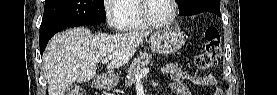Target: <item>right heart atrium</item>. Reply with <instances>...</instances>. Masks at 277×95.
Listing matches in <instances>:
<instances>
[{
  "mask_svg": "<svg viewBox=\"0 0 277 95\" xmlns=\"http://www.w3.org/2000/svg\"><path fill=\"white\" fill-rule=\"evenodd\" d=\"M121 0H105L103 5V11L106 17V21L110 28L118 30L121 28L120 15L115 9V4Z\"/></svg>",
  "mask_w": 277,
  "mask_h": 95,
  "instance_id": "obj_1",
  "label": "right heart atrium"
}]
</instances>
